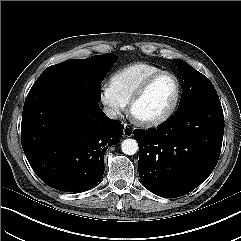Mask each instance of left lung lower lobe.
<instances>
[{"instance_id":"0a47b994","label":"left lung lower lobe","mask_w":241,"mask_h":241,"mask_svg":"<svg viewBox=\"0 0 241 241\" xmlns=\"http://www.w3.org/2000/svg\"><path fill=\"white\" fill-rule=\"evenodd\" d=\"M223 133L222 107L210 103L178 109L157 129H135L142 183L164 198L189 193L214 170Z\"/></svg>"}]
</instances>
